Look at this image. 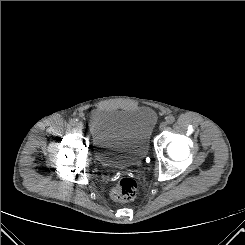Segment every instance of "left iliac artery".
Returning <instances> with one entry per match:
<instances>
[{"label":"left iliac artery","mask_w":245,"mask_h":245,"mask_svg":"<svg viewBox=\"0 0 245 245\" xmlns=\"http://www.w3.org/2000/svg\"><path fill=\"white\" fill-rule=\"evenodd\" d=\"M174 121H175L174 116L169 115V116L166 117V122H167L168 124H172V123H174Z\"/></svg>","instance_id":"left-iliac-artery-1"}]
</instances>
